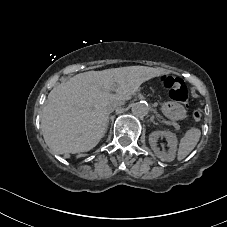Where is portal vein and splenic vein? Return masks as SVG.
Wrapping results in <instances>:
<instances>
[{"label":"portal vein and splenic vein","instance_id":"obj_1","mask_svg":"<svg viewBox=\"0 0 227 227\" xmlns=\"http://www.w3.org/2000/svg\"><path fill=\"white\" fill-rule=\"evenodd\" d=\"M165 121H162L161 123L165 124V125H168V126H170L172 124L179 132L182 130L176 123L172 122L171 120L166 119Z\"/></svg>","mask_w":227,"mask_h":227}]
</instances>
